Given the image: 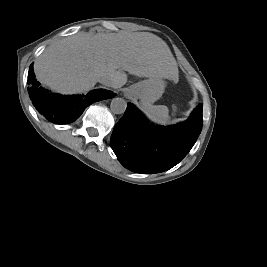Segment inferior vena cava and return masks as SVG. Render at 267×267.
<instances>
[{
    "label": "inferior vena cava",
    "mask_w": 267,
    "mask_h": 267,
    "mask_svg": "<svg viewBox=\"0 0 267 267\" xmlns=\"http://www.w3.org/2000/svg\"><path fill=\"white\" fill-rule=\"evenodd\" d=\"M99 82L105 86H108V87H113L114 86V81L109 78V77H106V76H102L100 79H99Z\"/></svg>",
    "instance_id": "1"
}]
</instances>
